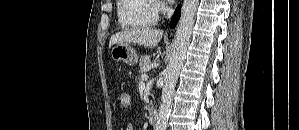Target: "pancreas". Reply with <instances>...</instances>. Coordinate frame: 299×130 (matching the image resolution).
<instances>
[{
	"label": "pancreas",
	"mask_w": 299,
	"mask_h": 130,
	"mask_svg": "<svg viewBox=\"0 0 299 130\" xmlns=\"http://www.w3.org/2000/svg\"><path fill=\"white\" fill-rule=\"evenodd\" d=\"M150 64H151V58H150V56H142L140 58V64H139L140 69H139V72L141 74H145L148 71V68H149Z\"/></svg>",
	"instance_id": "cf45deb5"
}]
</instances>
